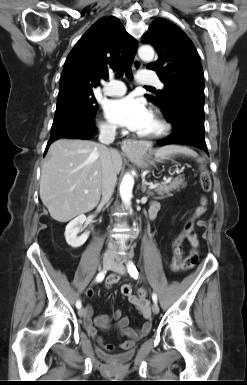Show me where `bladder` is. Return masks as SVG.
Returning a JSON list of instances; mask_svg holds the SVG:
<instances>
[{
	"label": "bladder",
	"mask_w": 247,
	"mask_h": 385,
	"mask_svg": "<svg viewBox=\"0 0 247 385\" xmlns=\"http://www.w3.org/2000/svg\"><path fill=\"white\" fill-rule=\"evenodd\" d=\"M132 353H128L127 355H120L119 357H129Z\"/></svg>",
	"instance_id": "31cf9c89"
}]
</instances>
